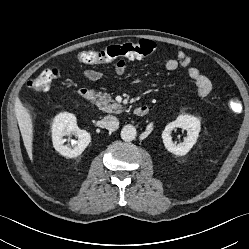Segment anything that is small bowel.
<instances>
[{
    "label": "small bowel",
    "mask_w": 249,
    "mask_h": 249,
    "mask_svg": "<svg viewBox=\"0 0 249 249\" xmlns=\"http://www.w3.org/2000/svg\"><path fill=\"white\" fill-rule=\"evenodd\" d=\"M165 69L175 71L179 68H187L188 77L194 82L197 87V94L204 98L212 91V83L210 79L202 74L196 67L191 66V57L183 51L177 52L175 58L168 59L164 63ZM126 71V63L124 60H119L115 65V72L118 75H123ZM83 76L90 81H95L101 78L102 72L96 69H85Z\"/></svg>",
    "instance_id": "1"
}]
</instances>
